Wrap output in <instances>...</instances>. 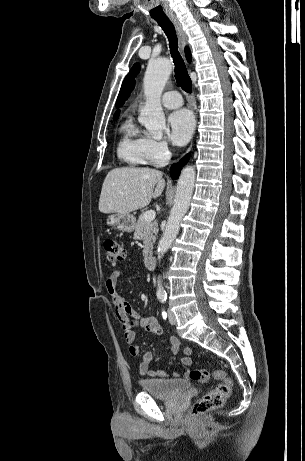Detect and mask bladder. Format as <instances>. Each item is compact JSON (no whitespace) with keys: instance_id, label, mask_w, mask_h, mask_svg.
Returning a JSON list of instances; mask_svg holds the SVG:
<instances>
[{"instance_id":"obj_1","label":"bladder","mask_w":305,"mask_h":461,"mask_svg":"<svg viewBox=\"0 0 305 461\" xmlns=\"http://www.w3.org/2000/svg\"><path fill=\"white\" fill-rule=\"evenodd\" d=\"M138 383L143 392L162 399H174L191 388L184 379L140 378Z\"/></svg>"}]
</instances>
